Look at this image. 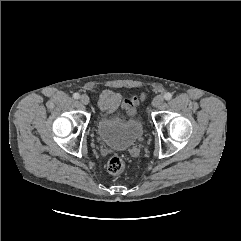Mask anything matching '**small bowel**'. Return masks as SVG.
<instances>
[{"instance_id":"obj_1","label":"small bowel","mask_w":241,"mask_h":241,"mask_svg":"<svg viewBox=\"0 0 241 241\" xmlns=\"http://www.w3.org/2000/svg\"><path fill=\"white\" fill-rule=\"evenodd\" d=\"M142 100L143 95L122 99L118 93L106 90L100 96L99 108L103 114H113L117 110H122L123 116L132 117Z\"/></svg>"}]
</instances>
